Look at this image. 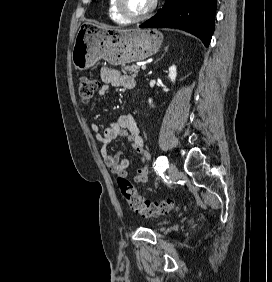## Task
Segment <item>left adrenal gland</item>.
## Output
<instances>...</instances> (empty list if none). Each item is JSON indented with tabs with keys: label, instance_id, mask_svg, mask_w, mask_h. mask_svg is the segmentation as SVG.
<instances>
[{
	"label": "left adrenal gland",
	"instance_id": "left-adrenal-gland-1",
	"mask_svg": "<svg viewBox=\"0 0 272 282\" xmlns=\"http://www.w3.org/2000/svg\"><path fill=\"white\" fill-rule=\"evenodd\" d=\"M169 46H166L164 49V53L161 55L160 58H158L155 62L159 61L160 59H162L164 57V55L166 54V52L168 51Z\"/></svg>",
	"mask_w": 272,
	"mask_h": 282
}]
</instances>
